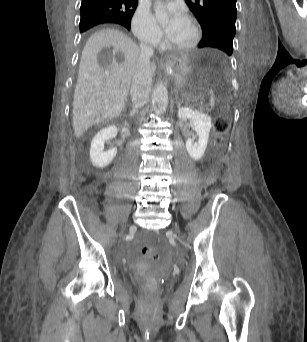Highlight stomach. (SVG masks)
Instances as JSON below:
<instances>
[{"label": "stomach", "mask_w": 307, "mask_h": 342, "mask_svg": "<svg viewBox=\"0 0 307 342\" xmlns=\"http://www.w3.org/2000/svg\"><path fill=\"white\" fill-rule=\"evenodd\" d=\"M196 64L195 58L184 55L173 58L165 68L173 76L177 91L187 97L194 94L193 74Z\"/></svg>", "instance_id": "obj_1"}]
</instances>
